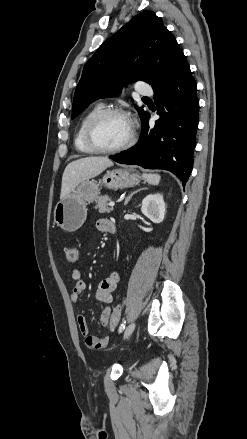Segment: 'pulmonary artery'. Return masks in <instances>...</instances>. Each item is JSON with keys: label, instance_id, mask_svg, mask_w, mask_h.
I'll use <instances>...</instances> for the list:
<instances>
[{"label": "pulmonary artery", "instance_id": "1", "mask_svg": "<svg viewBox=\"0 0 247 439\" xmlns=\"http://www.w3.org/2000/svg\"><path fill=\"white\" fill-rule=\"evenodd\" d=\"M135 89L141 95H150V94H152L151 87L147 83L142 82V81H139V82L136 83Z\"/></svg>", "mask_w": 247, "mask_h": 439}]
</instances>
